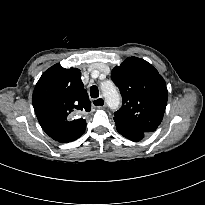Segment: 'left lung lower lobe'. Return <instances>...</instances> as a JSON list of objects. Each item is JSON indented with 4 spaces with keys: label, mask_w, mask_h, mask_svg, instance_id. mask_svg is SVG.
Returning a JSON list of instances; mask_svg holds the SVG:
<instances>
[{
    "label": "left lung lower lobe",
    "mask_w": 205,
    "mask_h": 205,
    "mask_svg": "<svg viewBox=\"0 0 205 205\" xmlns=\"http://www.w3.org/2000/svg\"><path fill=\"white\" fill-rule=\"evenodd\" d=\"M115 123H116L117 131L122 136L126 137L127 139H129L131 141L138 142L141 139H143L146 136V134H148L146 132L140 131V130L135 129L133 127H130L122 122L115 121Z\"/></svg>",
    "instance_id": "left-lung-lower-lobe-1"
}]
</instances>
